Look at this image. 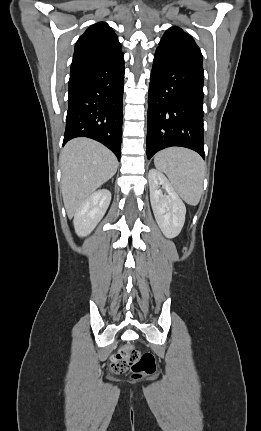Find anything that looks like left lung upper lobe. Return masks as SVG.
<instances>
[{
	"instance_id": "5c2ea615",
	"label": "left lung upper lobe",
	"mask_w": 261,
	"mask_h": 431,
	"mask_svg": "<svg viewBox=\"0 0 261 431\" xmlns=\"http://www.w3.org/2000/svg\"><path fill=\"white\" fill-rule=\"evenodd\" d=\"M158 48L203 62L201 51L193 38L179 27L168 29L160 40Z\"/></svg>"
}]
</instances>
